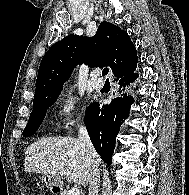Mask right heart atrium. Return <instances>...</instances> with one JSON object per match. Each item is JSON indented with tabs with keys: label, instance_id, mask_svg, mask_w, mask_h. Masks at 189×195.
Returning <instances> with one entry per match:
<instances>
[{
	"label": "right heart atrium",
	"instance_id": "right-heart-atrium-1",
	"mask_svg": "<svg viewBox=\"0 0 189 195\" xmlns=\"http://www.w3.org/2000/svg\"><path fill=\"white\" fill-rule=\"evenodd\" d=\"M57 112L62 127H69L81 121V101L72 89L65 88L59 94Z\"/></svg>",
	"mask_w": 189,
	"mask_h": 195
}]
</instances>
